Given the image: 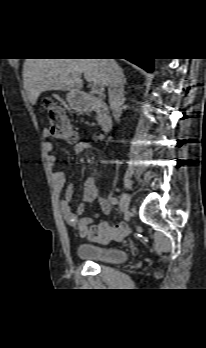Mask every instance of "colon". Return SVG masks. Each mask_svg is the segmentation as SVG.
Masks as SVG:
<instances>
[{
	"mask_svg": "<svg viewBox=\"0 0 206 348\" xmlns=\"http://www.w3.org/2000/svg\"><path fill=\"white\" fill-rule=\"evenodd\" d=\"M44 107L48 112L50 135L57 139L73 142L76 139V132L70 123L64 109L55 104L52 100L46 99ZM130 232L126 223L109 225L102 222L98 225H90L83 231V235L96 242L119 241Z\"/></svg>",
	"mask_w": 206,
	"mask_h": 348,
	"instance_id": "obj_1",
	"label": "colon"
}]
</instances>
